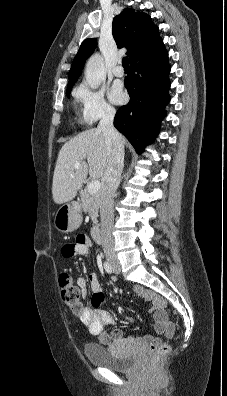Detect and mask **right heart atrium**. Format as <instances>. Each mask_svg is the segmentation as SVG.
<instances>
[{"label":"right heart atrium","instance_id":"obj_1","mask_svg":"<svg viewBox=\"0 0 227 396\" xmlns=\"http://www.w3.org/2000/svg\"><path fill=\"white\" fill-rule=\"evenodd\" d=\"M74 95L81 105L82 116L87 123L112 118L116 113L115 108L106 100L102 89H94L83 83L75 90Z\"/></svg>","mask_w":227,"mask_h":396}]
</instances>
